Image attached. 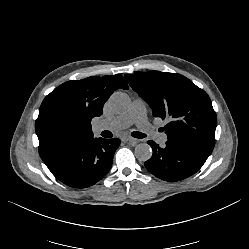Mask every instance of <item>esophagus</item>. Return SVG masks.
Returning <instances> with one entry per match:
<instances>
[{
  "instance_id": "1",
  "label": "esophagus",
  "mask_w": 249,
  "mask_h": 249,
  "mask_svg": "<svg viewBox=\"0 0 249 249\" xmlns=\"http://www.w3.org/2000/svg\"><path fill=\"white\" fill-rule=\"evenodd\" d=\"M121 141H123V142H133V141H135V139L130 137V136H122Z\"/></svg>"
}]
</instances>
